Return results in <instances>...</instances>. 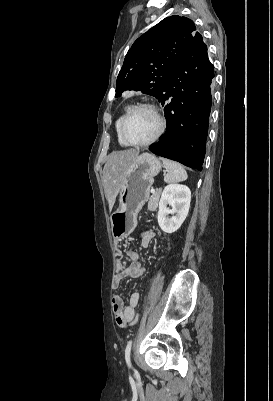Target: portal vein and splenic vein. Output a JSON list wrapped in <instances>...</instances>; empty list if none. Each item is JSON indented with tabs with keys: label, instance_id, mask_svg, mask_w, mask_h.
Listing matches in <instances>:
<instances>
[{
	"label": "portal vein and splenic vein",
	"instance_id": "portal-vein-and-splenic-vein-1",
	"mask_svg": "<svg viewBox=\"0 0 273 401\" xmlns=\"http://www.w3.org/2000/svg\"><path fill=\"white\" fill-rule=\"evenodd\" d=\"M151 192H155V188H151Z\"/></svg>",
	"mask_w": 273,
	"mask_h": 401
}]
</instances>
